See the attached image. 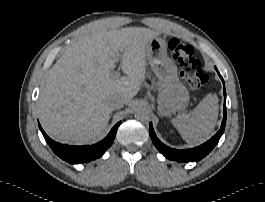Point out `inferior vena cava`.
<instances>
[{
	"label": "inferior vena cava",
	"instance_id": "inferior-vena-cava-1",
	"mask_svg": "<svg viewBox=\"0 0 265 202\" xmlns=\"http://www.w3.org/2000/svg\"><path fill=\"white\" fill-rule=\"evenodd\" d=\"M125 103L124 98L121 95L114 94L107 99V104L112 109L122 108Z\"/></svg>",
	"mask_w": 265,
	"mask_h": 202
}]
</instances>
